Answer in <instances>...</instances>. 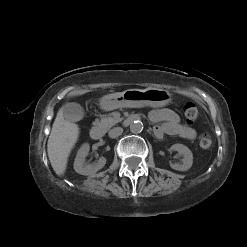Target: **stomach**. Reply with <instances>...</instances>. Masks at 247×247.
I'll list each match as a JSON object with an SVG mask.
<instances>
[{
    "mask_svg": "<svg viewBox=\"0 0 247 247\" xmlns=\"http://www.w3.org/2000/svg\"><path fill=\"white\" fill-rule=\"evenodd\" d=\"M172 101V94L164 89H129L105 95L100 100L102 109L109 111L121 107H162Z\"/></svg>",
    "mask_w": 247,
    "mask_h": 247,
    "instance_id": "stomach-1",
    "label": "stomach"
}]
</instances>
